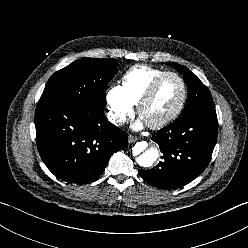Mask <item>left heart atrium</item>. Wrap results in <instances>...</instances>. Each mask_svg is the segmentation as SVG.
Returning <instances> with one entry per match:
<instances>
[{"label":"left heart atrium","instance_id":"1","mask_svg":"<svg viewBox=\"0 0 248 248\" xmlns=\"http://www.w3.org/2000/svg\"><path fill=\"white\" fill-rule=\"evenodd\" d=\"M142 127H143V122H142V121H138V122L135 124V126H134L135 129H141Z\"/></svg>","mask_w":248,"mask_h":248}]
</instances>
